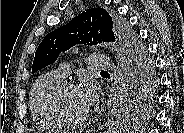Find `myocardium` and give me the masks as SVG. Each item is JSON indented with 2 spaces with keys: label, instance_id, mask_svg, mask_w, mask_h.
<instances>
[{
  "label": "myocardium",
  "instance_id": "f54148a6",
  "mask_svg": "<svg viewBox=\"0 0 184 133\" xmlns=\"http://www.w3.org/2000/svg\"><path fill=\"white\" fill-rule=\"evenodd\" d=\"M69 88H78V86L69 80L62 81L55 86L49 96V108L59 124L77 126L88 120L89 110L82 117L77 119L69 118L63 114L60 108V98L63 92Z\"/></svg>",
  "mask_w": 184,
  "mask_h": 133
}]
</instances>
